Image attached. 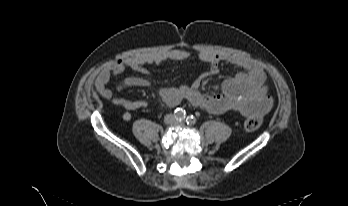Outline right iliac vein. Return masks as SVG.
Returning <instances> with one entry per match:
<instances>
[{
	"instance_id": "63e3f726",
	"label": "right iliac vein",
	"mask_w": 348,
	"mask_h": 206,
	"mask_svg": "<svg viewBox=\"0 0 348 206\" xmlns=\"http://www.w3.org/2000/svg\"><path fill=\"white\" fill-rule=\"evenodd\" d=\"M172 120H173L172 116H168V117L166 118V121H167V122H170V121H172Z\"/></svg>"
}]
</instances>
